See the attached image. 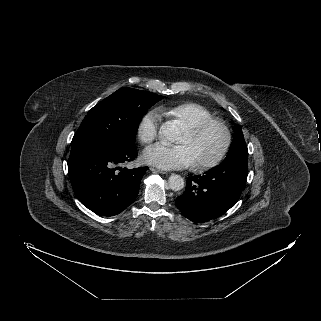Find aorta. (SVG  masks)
I'll return each instance as SVG.
<instances>
[{
	"mask_svg": "<svg viewBox=\"0 0 321 321\" xmlns=\"http://www.w3.org/2000/svg\"><path fill=\"white\" fill-rule=\"evenodd\" d=\"M160 135L163 138L174 142L179 135V130L173 122L168 121L161 126ZM168 185L171 190L180 191L184 188V179L180 175L172 174L169 177Z\"/></svg>",
	"mask_w": 321,
	"mask_h": 321,
	"instance_id": "aorta-1",
	"label": "aorta"
}]
</instances>
